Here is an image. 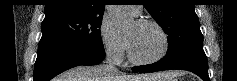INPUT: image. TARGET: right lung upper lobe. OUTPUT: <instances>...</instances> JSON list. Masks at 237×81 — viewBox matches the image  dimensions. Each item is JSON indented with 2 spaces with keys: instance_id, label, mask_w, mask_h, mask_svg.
Wrapping results in <instances>:
<instances>
[{
  "instance_id": "obj_1",
  "label": "right lung upper lobe",
  "mask_w": 237,
  "mask_h": 81,
  "mask_svg": "<svg viewBox=\"0 0 237 81\" xmlns=\"http://www.w3.org/2000/svg\"><path fill=\"white\" fill-rule=\"evenodd\" d=\"M106 0H48L45 19L61 15L103 16Z\"/></svg>"
}]
</instances>
